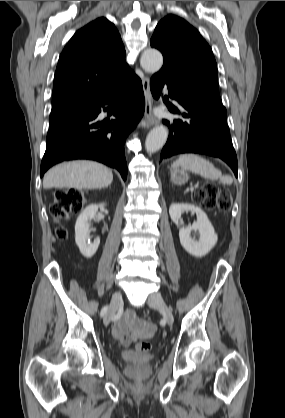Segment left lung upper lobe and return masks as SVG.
<instances>
[{"mask_svg": "<svg viewBox=\"0 0 285 418\" xmlns=\"http://www.w3.org/2000/svg\"><path fill=\"white\" fill-rule=\"evenodd\" d=\"M150 44L164 57L159 72H167L188 89L221 101L213 52L193 26L169 14L157 24Z\"/></svg>", "mask_w": 285, "mask_h": 418, "instance_id": "left-lung-upper-lobe-1", "label": "left lung upper lobe"}]
</instances>
